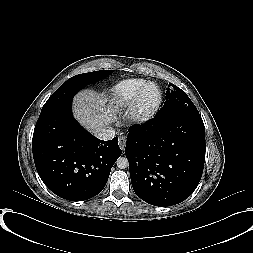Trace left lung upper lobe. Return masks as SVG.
<instances>
[{"instance_id":"left-lung-upper-lobe-1","label":"left lung upper lobe","mask_w":253,"mask_h":253,"mask_svg":"<svg viewBox=\"0 0 253 253\" xmlns=\"http://www.w3.org/2000/svg\"><path fill=\"white\" fill-rule=\"evenodd\" d=\"M169 86L166 92V103L156 113L155 117L168 114H199L197 108L183 90L172 83Z\"/></svg>"}]
</instances>
